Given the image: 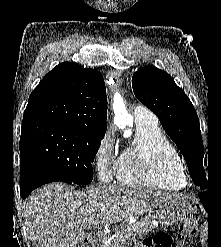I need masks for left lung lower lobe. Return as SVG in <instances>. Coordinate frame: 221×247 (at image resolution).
<instances>
[{
    "label": "left lung lower lobe",
    "instance_id": "0a47b994",
    "mask_svg": "<svg viewBox=\"0 0 221 247\" xmlns=\"http://www.w3.org/2000/svg\"><path fill=\"white\" fill-rule=\"evenodd\" d=\"M198 195L204 207H206L208 204V200H209V192L205 191V192L199 193Z\"/></svg>",
    "mask_w": 221,
    "mask_h": 247
}]
</instances>
